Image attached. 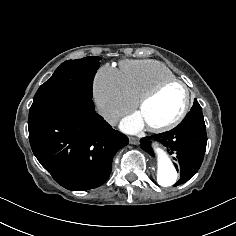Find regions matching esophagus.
I'll use <instances>...</instances> for the list:
<instances>
[{
  "label": "esophagus",
  "instance_id": "esophagus-1",
  "mask_svg": "<svg viewBox=\"0 0 236 236\" xmlns=\"http://www.w3.org/2000/svg\"><path fill=\"white\" fill-rule=\"evenodd\" d=\"M129 142L130 144L137 145L139 143V140L136 137H130Z\"/></svg>",
  "mask_w": 236,
  "mask_h": 236
}]
</instances>
